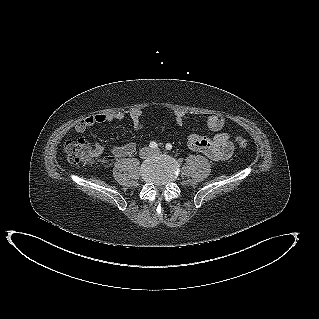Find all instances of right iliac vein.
<instances>
[{"label": "right iliac vein", "mask_w": 319, "mask_h": 319, "mask_svg": "<svg viewBox=\"0 0 319 319\" xmlns=\"http://www.w3.org/2000/svg\"><path fill=\"white\" fill-rule=\"evenodd\" d=\"M151 154V150L148 147H145L141 150L140 155L143 158L148 157Z\"/></svg>", "instance_id": "1"}]
</instances>
